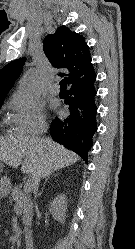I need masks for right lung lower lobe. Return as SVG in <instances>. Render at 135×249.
<instances>
[{
	"label": "right lung lower lobe",
	"instance_id": "98d812e1",
	"mask_svg": "<svg viewBox=\"0 0 135 249\" xmlns=\"http://www.w3.org/2000/svg\"><path fill=\"white\" fill-rule=\"evenodd\" d=\"M95 81L94 73L70 85L65 98L70 116L63 120L54 119L50 128V135L55 141L77 153L86 162L93 145V135L97 131Z\"/></svg>",
	"mask_w": 135,
	"mask_h": 249
}]
</instances>
